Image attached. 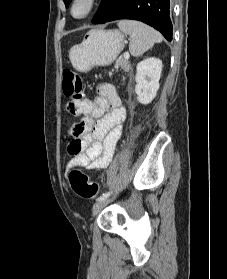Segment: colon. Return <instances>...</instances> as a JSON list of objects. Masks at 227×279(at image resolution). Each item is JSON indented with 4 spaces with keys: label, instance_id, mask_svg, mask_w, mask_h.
I'll use <instances>...</instances> for the list:
<instances>
[{
    "label": "colon",
    "instance_id": "colon-1",
    "mask_svg": "<svg viewBox=\"0 0 227 279\" xmlns=\"http://www.w3.org/2000/svg\"><path fill=\"white\" fill-rule=\"evenodd\" d=\"M63 93L67 100L66 108L69 113L74 114L79 106L83 83L74 71L65 70L63 72ZM80 150L78 143L69 146V153L76 155ZM69 180L74 192L83 199H91L98 194L99 187L87 174L80 169H73L69 174Z\"/></svg>",
    "mask_w": 227,
    "mask_h": 279
}]
</instances>
